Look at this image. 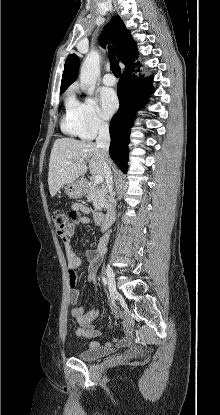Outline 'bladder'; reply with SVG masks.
<instances>
[{
	"label": "bladder",
	"mask_w": 220,
	"mask_h": 415,
	"mask_svg": "<svg viewBox=\"0 0 220 415\" xmlns=\"http://www.w3.org/2000/svg\"><path fill=\"white\" fill-rule=\"evenodd\" d=\"M108 355V350L99 346H88L79 352L78 357L82 360L92 361L97 360Z\"/></svg>",
	"instance_id": "31cf9c89"
}]
</instances>
